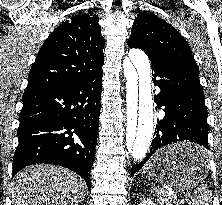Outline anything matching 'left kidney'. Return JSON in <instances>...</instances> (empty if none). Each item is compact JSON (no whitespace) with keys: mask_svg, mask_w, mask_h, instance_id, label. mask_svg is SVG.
Instances as JSON below:
<instances>
[{"mask_svg":"<svg viewBox=\"0 0 222 205\" xmlns=\"http://www.w3.org/2000/svg\"><path fill=\"white\" fill-rule=\"evenodd\" d=\"M140 205H157L155 203H153L150 199H143L142 203Z\"/></svg>","mask_w":222,"mask_h":205,"instance_id":"left-kidney-1","label":"left kidney"}]
</instances>
